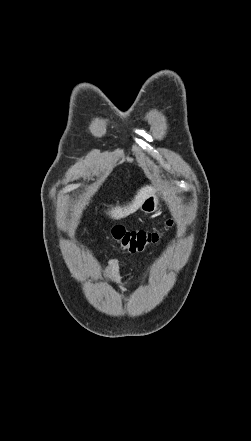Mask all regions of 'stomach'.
<instances>
[{
	"mask_svg": "<svg viewBox=\"0 0 251 441\" xmlns=\"http://www.w3.org/2000/svg\"><path fill=\"white\" fill-rule=\"evenodd\" d=\"M159 201V195L154 192L141 203L139 208L145 214L154 213L158 209Z\"/></svg>",
	"mask_w": 251,
	"mask_h": 441,
	"instance_id": "stomach-1",
	"label": "stomach"
}]
</instances>
